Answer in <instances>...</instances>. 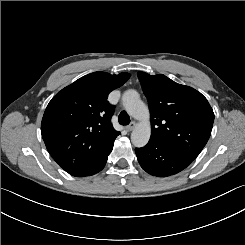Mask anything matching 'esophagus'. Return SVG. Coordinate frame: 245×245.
Instances as JSON below:
<instances>
[{"instance_id": "1", "label": "esophagus", "mask_w": 245, "mask_h": 245, "mask_svg": "<svg viewBox=\"0 0 245 245\" xmlns=\"http://www.w3.org/2000/svg\"><path fill=\"white\" fill-rule=\"evenodd\" d=\"M136 126V122L135 121H132L127 127H126V130L127 131H132Z\"/></svg>"}]
</instances>
